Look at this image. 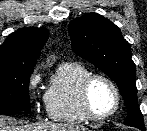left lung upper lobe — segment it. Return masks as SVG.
Returning a JSON list of instances; mask_svg holds the SVG:
<instances>
[{"mask_svg": "<svg viewBox=\"0 0 147 131\" xmlns=\"http://www.w3.org/2000/svg\"><path fill=\"white\" fill-rule=\"evenodd\" d=\"M68 30L73 51L117 84L128 110L124 123L145 128L137 102L136 67L119 27L99 14L88 13L71 21Z\"/></svg>", "mask_w": 147, "mask_h": 131, "instance_id": "5c2ea615", "label": "left lung upper lobe"}]
</instances>
